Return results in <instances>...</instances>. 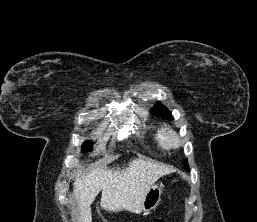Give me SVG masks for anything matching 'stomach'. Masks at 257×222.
Segmentation results:
<instances>
[{
    "label": "stomach",
    "mask_w": 257,
    "mask_h": 222,
    "mask_svg": "<svg viewBox=\"0 0 257 222\" xmlns=\"http://www.w3.org/2000/svg\"><path fill=\"white\" fill-rule=\"evenodd\" d=\"M161 195H162V188L160 185H152L149 191L147 192L143 205H142V211L144 213H149L152 210H154L161 201Z\"/></svg>",
    "instance_id": "obj_1"
}]
</instances>
